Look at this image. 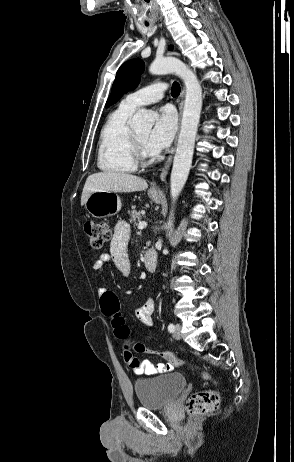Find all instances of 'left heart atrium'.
<instances>
[{
  "label": "left heart atrium",
  "instance_id": "obj_1",
  "mask_svg": "<svg viewBox=\"0 0 294 462\" xmlns=\"http://www.w3.org/2000/svg\"><path fill=\"white\" fill-rule=\"evenodd\" d=\"M176 127L175 111L169 106L162 107L156 114L154 127L146 141L148 151L154 155L168 147L174 137Z\"/></svg>",
  "mask_w": 294,
  "mask_h": 462
}]
</instances>
